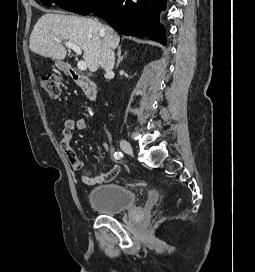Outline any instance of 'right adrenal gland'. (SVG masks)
Masks as SVG:
<instances>
[{"label": "right adrenal gland", "mask_w": 255, "mask_h": 272, "mask_svg": "<svg viewBox=\"0 0 255 272\" xmlns=\"http://www.w3.org/2000/svg\"><path fill=\"white\" fill-rule=\"evenodd\" d=\"M126 55V53H125ZM117 56H118V59H117V63H116V67L119 66L120 62L123 60L124 56L121 55V45L118 47V52H117Z\"/></svg>", "instance_id": "2a0ac1e0"}]
</instances>
